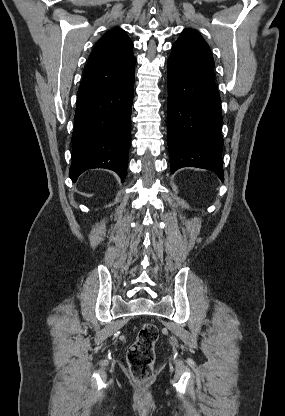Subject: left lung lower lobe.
<instances>
[{"mask_svg": "<svg viewBox=\"0 0 285 416\" xmlns=\"http://www.w3.org/2000/svg\"><path fill=\"white\" fill-rule=\"evenodd\" d=\"M167 131L174 173L182 167L213 171L224 180L221 99L215 81L168 59Z\"/></svg>", "mask_w": 285, "mask_h": 416, "instance_id": "obj_1", "label": "left lung lower lobe"}]
</instances>
